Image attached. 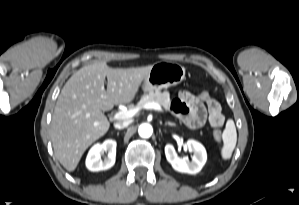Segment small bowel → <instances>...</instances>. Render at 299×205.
Wrapping results in <instances>:
<instances>
[{
  "label": "small bowel",
  "instance_id": "obj_1",
  "mask_svg": "<svg viewBox=\"0 0 299 205\" xmlns=\"http://www.w3.org/2000/svg\"><path fill=\"white\" fill-rule=\"evenodd\" d=\"M172 111L191 128L202 126L207 118L213 127L224 124L221 106L216 100L209 99L203 103L188 91L179 93L178 99L172 103Z\"/></svg>",
  "mask_w": 299,
  "mask_h": 205
}]
</instances>
